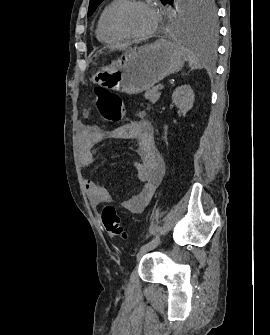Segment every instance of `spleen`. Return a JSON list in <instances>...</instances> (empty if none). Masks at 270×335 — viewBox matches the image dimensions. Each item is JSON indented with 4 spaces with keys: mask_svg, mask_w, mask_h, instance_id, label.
<instances>
[{
    "mask_svg": "<svg viewBox=\"0 0 270 335\" xmlns=\"http://www.w3.org/2000/svg\"><path fill=\"white\" fill-rule=\"evenodd\" d=\"M184 54L185 56H187V60L192 68V70H194V68H197V66H199L200 64V60H199V50H198V46H190V48H185L184 50Z\"/></svg>",
    "mask_w": 270,
    "mask_h": 335,
    "instance_id": "obj_1",
    "label": "spleen"
}]
</instances>
